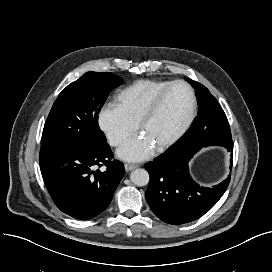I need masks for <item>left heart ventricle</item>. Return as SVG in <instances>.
<instances>
[{"label":"left heart ventricle","mask_w":272,"mask_h":272,"mask_svg":"<svg viewBox=\"0 0 272 272\" xmlns=\"http://www.w3.org/2000/svg\"><path fill=\"white\" fill-rule=\"evenodd\" d=\"M190 108V97L183 86L169 91L156 114L141 132L155 147L170 138L185 121Z\"/></svg>","instance_id":"obj_1"}]
</instances>
